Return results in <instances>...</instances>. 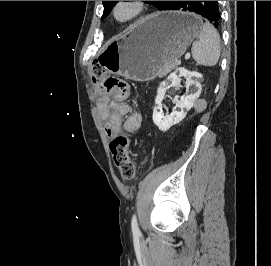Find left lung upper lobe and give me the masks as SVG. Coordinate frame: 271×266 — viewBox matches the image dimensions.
<instances>
[{"label":"left lung upper lobe","mask_w":271,"mask_h":266,"mask_svg":"<svg viewBox=\"0 0 271 266\" xmlns=\"http://www.w3.org/2000/svg\"><path fill=\"white\" fill-rule=\"evenodd\" d=\"M117 2L118 1H103L104 12L101 19L107 17V15L110 13V11ZM145 2H149L155 7H157L159 10H163L171 1H145Z\"/></svg>","instance_id":"obj_1"}]
</instances>
